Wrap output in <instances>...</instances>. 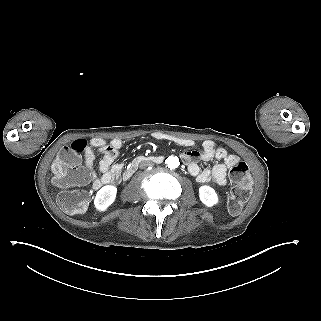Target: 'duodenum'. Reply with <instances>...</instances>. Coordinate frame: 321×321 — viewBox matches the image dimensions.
<instances>
[{
  "mask_svg": "<svg viewBox=\"0 0 321 321\" xmlns=\"http://www.w3.org/2000/svg\"><path fill=\"white\" fill-rule=\"evenodd\" d=\"M142 162H153V163L160 164L163 162V158L161 156H145V155L138 156L124 170L123 178L124 179L130 178Z\"/></svg>",
  "mask_w": 321,
  "mask_h": 321,
  "instance_id": "1",
  "label": "duodenum"
}]
</instances>
